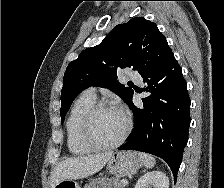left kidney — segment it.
<instances>
[{
	"instance_id": "left-kidney-1",
	"label": "left kidney",
	"mask_w": 224,
	"mask_h": 188,
	"mask_svg": "<svg viewBox=\"0 0 224 188\" xmlns=\"http://www.w3.org/2000/svg\"><path fill=\"white\" fill-rule=\"evenodd\" d=\"M135 188H169V179L164 172L151 171L139 178Z\"/></svg>"
}]
</instances>
